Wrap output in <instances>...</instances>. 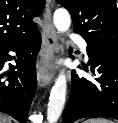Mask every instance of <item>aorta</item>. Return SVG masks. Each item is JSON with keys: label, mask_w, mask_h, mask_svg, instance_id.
I'll return each mask as SVG.
<instances>
[{"label": "aorta", "mask_w": 118, "mask_h": 123, "mask_svg": "<svg viewBox=\"0 0 118 123\" xmlns=\"http://www.w3.org/2000/svg\"><path fill=\"white\" fill-rule=\"evenodd\" d=\"M53 22L59 32H66L71 24V16L66 9L60 8L55 11ZM66 91V76L64 72H61L51 89L47 108L48 123H56L59 119L65 105Z\"/></svg>", "instance_id": "obj_1"}]
</instances>
